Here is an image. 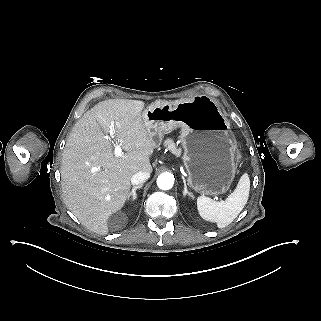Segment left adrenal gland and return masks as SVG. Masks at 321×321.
Masks as SVG:
<instances>
[{
	"instance_id": "obj_1",
	"label": "left adrenal gland",
	"mask_w": 321,
	"mask_h": 321,
	"mask_svg": "<svg viewBox=\"0 0 321 321\" xmlns=\"http://www.w3.org/2000/svg\"><path fill=\"white\" fill-rule=\"evenodd\" d=\"M183 196L192 198V195L188 193L187 185H186L185 181H184V193H183Z\"/></svg>"
}]
</instances>
